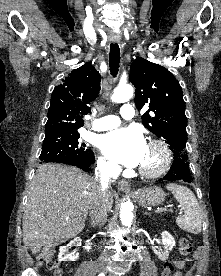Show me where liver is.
<instances>
[{
	"label": "liver",
	"mask_w": 221,
	"mask_h": 276,
	"mask_svg": "<svg viewBox=\"0 0 221 276\" xmlns=\"http://www.w3.org/2000/svg\"><path fill=\"white\" fill-rule=\"evenodd\" d=\"M98 183L77 167L43 164L28 192L23 216V242L33 254L77 236L85 226ZM108 210L113 194L106 191Z\"/></svg>",
	"instance_id": "1"
}]
</instances>
